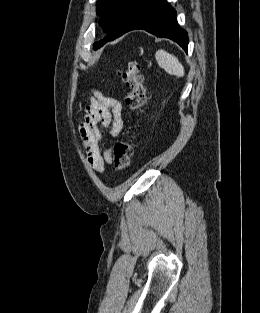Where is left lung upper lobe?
Instances as JSON below:
<instances>
[{"instance_id": "1", "label": "left lung upper lobe", "mask_w": 260, "mask_h": 313, "mask_svg": "<svg viewBox=\"0 0 260 313\" xmlns=\"http://www.w3.org/2000/svg\"><path fill=\"white\" fill-rule=\"evenodd\" d=\"M154 0H97V14L101 15L99 24L108 33L107 37L94 44L98 49L106 42L121 36L135 18Z\"/></svg>"}]
</instances>
